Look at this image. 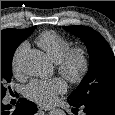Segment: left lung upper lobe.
Wrapping results in <instances>:
<instances>
[{"instance_id":"left-lung-upper-lobe-1","label":"left lung upper lobe","mask_w":115,"mask_h":115,"mask_svg":"<svg viewBox=\"0 0 115 115\" xmlns=\"http://www.w3.org/2000/svg\"><path fill=\"white\" fill-rule=\"evenodd\" d=\"M63 28L85 43L90 56L88 73L68 101L77 106L98 104L115 108V57L109 44L90 27Z\"/></svg>"}]
</instances>
